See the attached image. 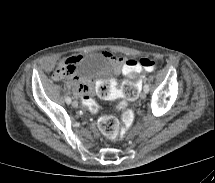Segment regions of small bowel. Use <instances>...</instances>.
Wrapping results in <instances>:
<instances>
[{"label":"small bowel","instance_id":"1","mask_svg":"<svg viewBox=\"0 0 215 183\" xmlns=\"http://www.w3.org/2000/svg\"><path fill=\"white\" fill-rule=\"evenodd\" d=\"M104 54L107 57L114 59L119 65H122L123 67H125L126 63L129 61L124 56H115L112 53L107 52V51H104ZM81 57L82 56L79 54H72V55L66 57L65 59H63L60 62V66L64 65L69 68L71 73L68 76L71 77V83H72L73 90L76 93V95L81 97V99H82V96L85 93L90 95L89 90L92 89L93 83L89 79L84 78V77H79L76 74V64ZM142 71H143L142 68H140V67L137 68V73L140 75L139 84H141V81L143 78ZM55 77L61 78V77L57 76V72L55 74ZM94 92L97 96H99L103 99H112V98L118 96L114 85L106 80L97 81L94 85Z\"/></svg>","mask_w":215,"mask_h":183}]
</instances>
